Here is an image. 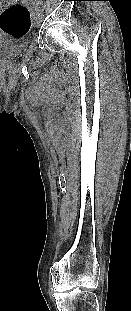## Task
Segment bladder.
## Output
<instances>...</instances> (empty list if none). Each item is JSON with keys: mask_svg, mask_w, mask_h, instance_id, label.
Listing matches in <instances>:
<instances>
[{"mask_svg": "<svg viewBox=\"0 0 131 311\" xmlns=\"http://www.w3.org/2000/svg\"><path fill=\"white\" fill-rule=\"evenodd\" d=\"M25 49L24 43L4 41L0 38V56L12 58L19 55Z\"/></svg>", "mask_w": 131, "mask_h": 311, "instance_id": "1", "label": "bladder"}]
</instances>
